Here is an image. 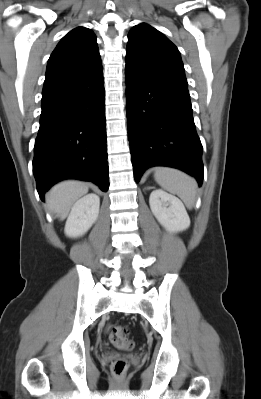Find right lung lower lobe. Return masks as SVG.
<instances>
[{"instance_id":"obj_1","label":"right lung lower lobe","mask_w":261,"mask_h":399,"mask_svg":"<svg viewBox=\"0 0 261 399\" xmlns=\"http://www.w3.org/2000/svg\"><path fill=\"white\" fill-rule=\"evenodd\" d=\"M102 74L42 96L40 128L35 140L33 172L44 193L66 178L109 187Z\"/></svg>"}]
</instances>
